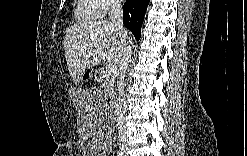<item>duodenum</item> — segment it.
I'll list each match as a JSON object with an SVG mask.
<instances>
[{"label":"duodenum","mask_w":247,"mask_h":156,"mask_svg":"<svg viewBox=\"0 0 247 156\" xmlns=\"http://www.w3.org/2000/svg\"><path fill=\"white\" fill-rule=\"evenodd\" d=\"M117 106H118V102H117V100H115L114 102H113V107H114V109H115V114H116V110H117Z\"/></svg>","instance_id":"410a0bca"}]
</instances>
